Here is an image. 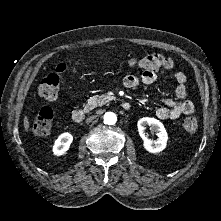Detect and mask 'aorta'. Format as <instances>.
<instances>
[{
    "mask_svg": "<svg viewBox=\"0 0 221 221\" xmlns=\"http://www.w3.org/2000/svg\"><path fill=\"white\" fill-rule=\"evenodd\" d=\"M117 121V116L114 112H106L104 114V123L107 125H114Z\"/></svg>",
    "mask_w": 221,
    "mask_h": 221,
    "instance_id": "1",
    "label": "aorta"
}]
</instances>
